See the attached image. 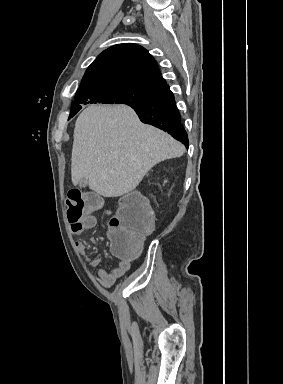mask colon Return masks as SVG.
I'll use <instances>...</instances> for the list:
<instances>
[{"mask_svg":"<svg viewBox=\"0 0 283 384\" xmlns=\"http://www.w3.org/2000/svg\"><path fill=\"white\" fill-rule=\"evenodd\" d=\"M67 217L78 227L85 216L100 209L103 200L93 193L71 189L67 194ZM112 253L126 261L135 259L141 252L144 237L153 230V214L144 198L130 192L120 198L118 209L109 224Z\"/></svg>","mask_w":283,"mask_h":384,"instance_id":"5ec220e1","label":"colon"}]
</instances>
